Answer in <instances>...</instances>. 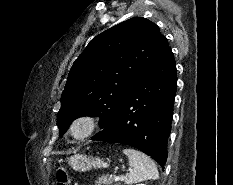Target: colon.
I'll use <instances>...</instances> for the list:
<instances>
[{
	"label": "colon",
	"mask_w": 233,
	"mask_h": 185,
	"mask_svg": "<svg viewBox=\"0 0 233 185\" xmlns=\"http://www.w3.org/2000/svg\"><path fill=\"white\" fill-rule=\"evenodd\" d=\"M56 185H69L70 184V176L68 171L61 167L56 171Z\"/></svg>",
	"instance_id": "1"
}]
</instances>
